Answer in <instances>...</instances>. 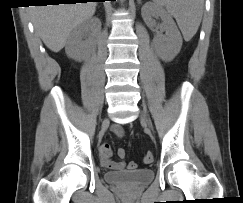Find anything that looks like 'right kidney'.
<instances>
[{
    "mask_svg": "<svg viewBox=\"0 0 243 203\" xmlns=\"http://www.w3.org/2000/svg\"><path fill=\"white\" fill-rule=\"evenodd\" d=\"M101 30V22L98 18H90L79 24L69 35L65 52L68 57L81 61L89 53L91 44L85 39L88 33L95 36Z\"/></svg>",
    "mask_w": 243,
    "mask_h": 203,
    "instance_id": "obj_1",
    "label": "right kidney"
}]
</instances>
